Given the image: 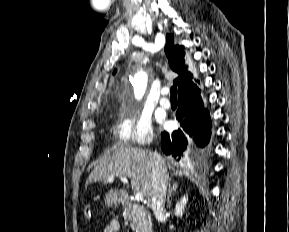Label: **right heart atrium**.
I'll return each instance as SVG.
<instances>
[{"instance_id":"1","label":"right heart atrium","mask_w":289,"mask_h":232,"mask_svg":"<svg viewBox=\"0 0 289 232\" xmlns=\"http://www.w3.org/2000/svg\"><path fill=\"white\" fill-rule=\"evenodd\" d=\"M113 134L117 142L125 146H147L154 139L151 121L145 116H121L114 126Z\"/></svg>"}]
</instances>
